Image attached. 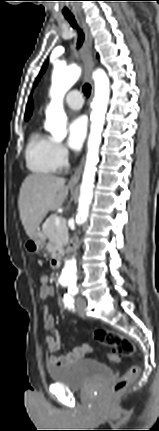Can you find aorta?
<instances>
[{
  "label": "aorta",
  "mask_w": 159,
  "mask_h": 431,
  "mask_svg": "<svg viewBox=\"0 0 159 431\" xmlns=\"http://www.w3.org/2000/svg\"><path fill=\"white\" fill-rule=\"evenodd\" d=\"M81 75V68L77 65L69 67L55 66L52 74L50 89L51 102L46 110L45 128L57 140L66 136V114L63 109L65 93L75 84ZM95 82V97L92 103L91 131L88 139V152L83 173L78 213L76 223L83 224L88 217L90 203L93 198L98 151L101 143V133L104 126L105 114L110 96V81L103 69L93 72ZM61 279L69 286L77 282V261L74 257L65 260Z\"/></svg>",
  "instance_id": "obj_1"
}]
</instances>
